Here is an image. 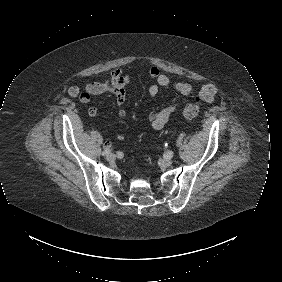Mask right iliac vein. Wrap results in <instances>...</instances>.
<instances>
[{
	"label": "right iliac vein",
	"mask_w": 282,
	"mask_h": 282,
	"mask_svg": "<svg viewBox=\"0 0 282 282\" xmlns=\"http://www.w3.org/2000/svg\"><path fill=\"white\" fill-rule=\"evenodd\" d=\"M114 158H115V155L112 154V153H109V154L106 155V159H107L108 161L114 160Z\"/></svg>",
	"instance_id": "right-iliac-vein-1"
}]
</instances>
